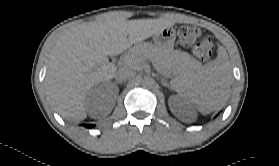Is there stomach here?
<instances>
[{
    "label": "stomach",
    "mask_w": 279,
    "mask_h": 166,
    "mask_svg": "<svg viewBox=\"0 0 279 166\" xmlns=\"http://www.w3.org/2000/svg\"><path fill=\"white\" fill-rule=\"evenodd\" d=\"M175 38V30L169 27L155 34L154 42L161 49H170L174 45Z\"/></svg>",
    "instance_id": "stomach-1"
}]
</instances>
